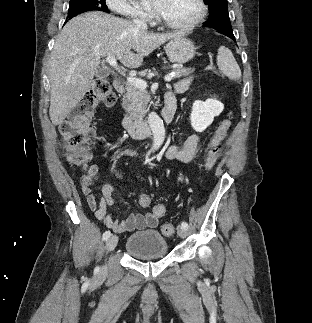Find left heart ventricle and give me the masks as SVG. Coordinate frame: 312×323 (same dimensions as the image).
<instances>
[{"mask_svg":"<svg viewBox=\"0 0 312 323\" xmlns=\"http://www.w3.org/2000/svg\"><path fill=\"white\" fill-rule=\"evenodd\" d=\"M198 13L199 3L196 0H166L165 7H162V14L169 22H176L177 18L186 20L187 14Z\"/></svg>","mask_w":312,"mask_h":323,"instance_id":"left-heart-ventricle-1","label":"left heart ventricle"}]
</instances>
